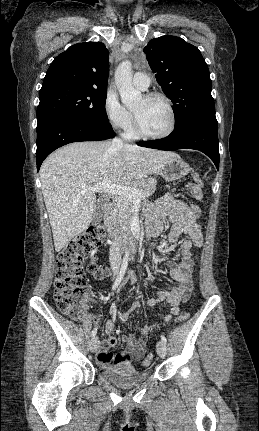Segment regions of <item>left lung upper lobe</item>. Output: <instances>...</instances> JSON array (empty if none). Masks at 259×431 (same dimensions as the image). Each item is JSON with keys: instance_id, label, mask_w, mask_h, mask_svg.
<instances>
[{"instance_id": "5c2ea615", "label": "left lung upper lobe", "mask_w": 259, "mask_h": 431, "mask_svg": "<svg viewBox=\"0 0 259 431\" xmlns=\"http://www.w3.org/2000/svg\"><path fill=\"white\" fill-rule=\"evenodd\" d=\"M144 53L174 105L175 127L196 119L217 123L209 69L197 47L166 35L152 39Z\"/></svg>"}]
</instances>
